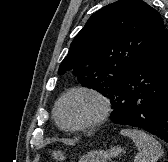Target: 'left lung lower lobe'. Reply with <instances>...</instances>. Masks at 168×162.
<instances>
[{"label": "left lung lower lobe", "instance_id": "0a47b994", "mask_svg": "<svg viewBox=\"0 0 168 162\" xmlns=\"http://www.w3.org/2000/svg\"><path fill=\"white\" fill-rule=\"evenodd\" d=\"M111 104L113 123L144 129L168 142V31L165 27L121 81Z\"/></svg>", "mask_w": 168, "mask_h": 162}]
</instances>
